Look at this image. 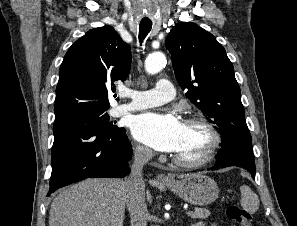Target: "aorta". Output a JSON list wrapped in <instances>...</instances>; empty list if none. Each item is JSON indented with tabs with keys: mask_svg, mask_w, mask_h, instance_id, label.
Here are the masks:
<instances>
[{
	"mask_svg": "<svg viewBox=\"0 0 297 226\" xmlns=\"http://www.w3.org/2000/svg\"><path fill=\"white\" fill-rule=\"evenodd\" d=\"M166 64V57L161 52L150 54L145 60V70L148 74H156L163 69Z\"/></svg>",
	"mask_w": 297,
	"mask_h": 226,
	"instance_id": "aorta-1",
	"label": "aorta"
}]
</instances>
